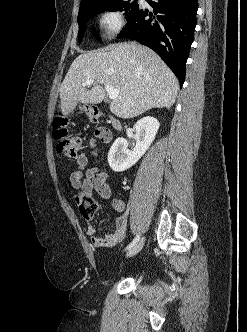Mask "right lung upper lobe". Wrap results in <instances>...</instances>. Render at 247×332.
Masks as SVG:
<instances>
[{
  "label": "right lung upper lobe",
  "mask_w": 247,
  "mask_h": 332,
  "mask_svg": "<svg viewBox=\"0 0 247 332\" xmlns=\"http://www.w3.org/2000/svg\"><path fill=\"white\" fill-rule=\"evenodd\" d=\"M104 0H81L80 9L86 8L90 5L96 4Z\"/></svg>",
  "instance_id": "cb5924a9"
}]
</instances>
